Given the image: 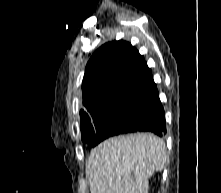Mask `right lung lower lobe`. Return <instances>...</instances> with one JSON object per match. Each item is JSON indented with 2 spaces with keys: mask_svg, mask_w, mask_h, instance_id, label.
<instances>
[{
  "mask_svg": "<svg viewBox=\"0 0 221 193\" xmlns=\"http://www.w3.org/2000/svg\"><path fill=\"white\" fill-rule=\"evenodd\" d=\"M151 103V110L136 124L121 134L133 132H152L160 137L166 133V122L163 106L159 99L158 92L154 96Z\"/></svg>",
  "mask_w": 221,
  "mask_h": 193,
  "instance_id": "right-lung-lower-lobe-1",
  "label": "right lung lower lobe"
}]
</instances>
